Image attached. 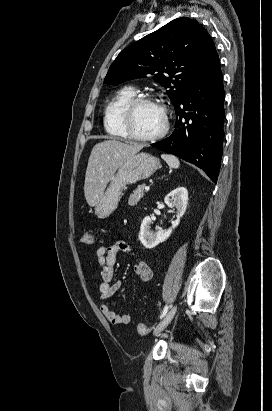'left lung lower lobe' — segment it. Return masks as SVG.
Here are the masks:
<instances>
[{"mask_svg": "<svg viewBox=\"0 0 272 411\" xmlns=\"http://www.w3.org/2000/svg\"><path fill=\"white\" fill-rule=\"evenodd\" d=\"M175 130L151 146L203 169L217 181L223 153L224 88L219 58L174 106Z\"/></svg>", "mask_w": 272, "mask_h": 411, "instance_id": "left-lung-lower-lobe-1", "label": "left lung lower lobe"}]
</instances>
